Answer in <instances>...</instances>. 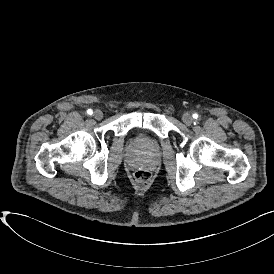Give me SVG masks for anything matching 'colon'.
<instances>
[{"instance_id":"1","label":"colon","mask_w":274,"mask_h":274,"mask_svg":"<svg viewBox=\"0 0 274 274\" xmlns=\"http://www.w3.org/2000/svg\"><path fill=\"white\" fill-rule=\"evenodd\" d=\"M151 172L148 169H139L134 174V179L140 184H147L151 180Z\"/></svg>"}]
</instances>
